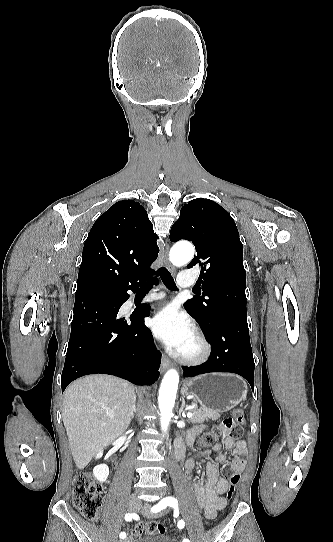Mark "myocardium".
Segmentation results:
<instances>
[{
    "instance_id": "1",
    "label": "myocardium",
    "mask_w": 333,
    "mask_h": 542,
    "mask_svg": "<svg viewBox=\"0 0 333 542\" xmlns=\"http://www.w3.org/2000/svg\"><path fill=\"white\" fill-rule=\"evenodd\" d=\"M197 351L192 355L173 354V358L184 365H200L205 363L211 355V346L202 331L196 330L195 333Z\"/></svg>"
}]
</instances>
